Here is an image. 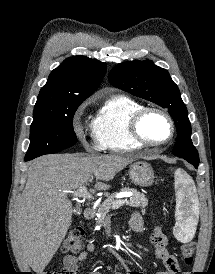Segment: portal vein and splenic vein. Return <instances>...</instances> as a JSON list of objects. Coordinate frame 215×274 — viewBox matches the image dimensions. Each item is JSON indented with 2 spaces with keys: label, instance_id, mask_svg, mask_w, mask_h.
I'll return each mask as SVG.
<instances>
[{
  "label": "portal vein and splenic vein",
  "instance_id": "1",
  "mask_svg": "<svg viewBox=\"0 0 215 274\" xmlns=\"http://www.w3.org/2000/svg\"><path fill=\"white\" fill-rule=\"evenodd\" d=\"M69 193H71L74 198H81V199H88V200L93 199L92 194L88 192L85 185H82L76 191H70ZM125 202H126L125 200H118L113 204L112 208L118 209L119 207L123 206Z\"/></svg>",
  "mask_w": 215,
  "mask_h": 274
}]
</instances>
